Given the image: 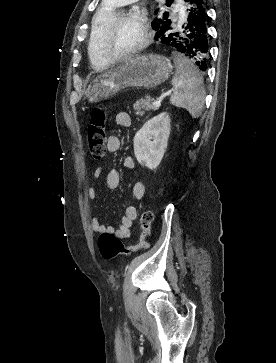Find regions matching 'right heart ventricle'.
<instances>
[{
	"label": "right heart ventricle",
	"mask_w": 276,
	"mask_h": 363,
	"mask_svg": "<svg viewBox=\"0 0 276 363\" xmlns=\"http://www.w3.org/2000/svg\"><path fill=\"white\" fill-rule=\"evenodd\" d=\"M118 5L111 0H104L92 22V32L89 42V57L93 67L102 69L108 67L110 62L103 56L99 47V37L107 22L117 13Z\"/></svg>",
	"instance_id": "obj_1"
}]
</instances>
